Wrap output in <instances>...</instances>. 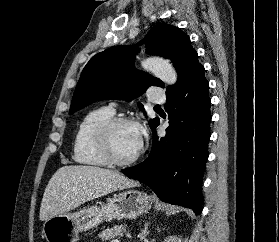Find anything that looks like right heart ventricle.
<instances>
[{
  "label": "right heart ventricle",
  "instance_id": "obj_1",
  "mask_svg": "<svg viewBox=\"0 0 279 242\" xmlns=\"http://www.w3.org/2000/svg\"><path fill=\"white\" fill-rule=\"evenodd\" d=\"M113 115L114 111L110 108L102 107L90 111L82 118L73 141L72 157L76 163L90 167L108 165L95 144L94 131L100 122L113 117Z\"/></svg>",
  "mask_w": 279,
  "mask_h": 242
}]
</instances>
